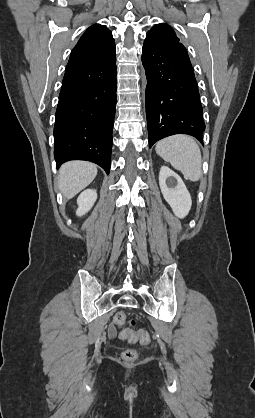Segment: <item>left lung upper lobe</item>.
Wrapping results in <instances>:
<instances>
[{"mask_svg": "<svg viewBox=\"0 0 255 418\" xmlns=\"http://www.w3.org/2000/svg\"><path fill=\"white\" fill-rule=\"evenodd\" d=\"M145 41L158 46V47H172L175 45H182L179 41V38L176 37V34L171 26L161 23L156 24L147 32Z\"/></svg>", "mask_w": 255, "mask_h": 418, "instance_id": "left-lung-upper-lobe-1", "label": "left lung upper lobe"}]
</instances>
